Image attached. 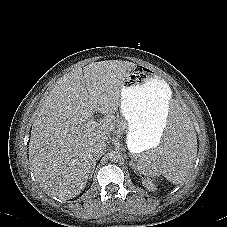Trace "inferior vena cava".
<instances>
[{
	"mask_svg": "<svg viewBox=\"0 0 227 227\" xmlns=\"http://www.w3.org/2000/svg\"><path fill=\"white\" fill-rule=\"evenodd\" d=\"M105 151H106V143L103 141L97 142L92 147V154H93V157L95 158L101 157L105 153Z\"/></svg>",
	"mask_w": 227,
	"mask_h": 227,
	"instance_id": "obj_1",
	"label": "inferior vena cava"
}]
</instances>
